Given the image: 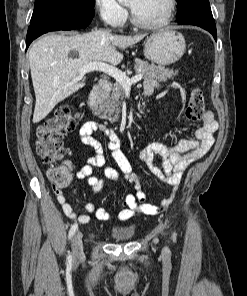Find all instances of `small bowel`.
<instances>
[{
	"label": "small bowel",
	"mask_w": 247,
	"mask_h": 296,
	"mask_svg": "<svg viewBox=\"0 0 247 296\" xmlns=\"http://www.w3.org/2000/svg\"><path fill=\"white\" fill-rule=\"evenodd\" d=\"M162 90V87L155 80H146L144 92L151 95L155 90ZM218 129V123L211 110L204 112L202 125L195 131V139L180 140L172 146L160 143L151 144L139 152V159L147 166L150 173L163 184L171 188L170 193L160 202L153 205L146 202V194L141 187L143 177L132 171L131 164L120 148V141L114 129L106 127L97 121H87L79 129L81 142L94 150V155L86 159L85 164L76 171L78 179L85 180L92 188L93 192L99 191L103 186V180L94 175L95 168H101L105 176L111 180L120 178L118 171L107 163L105 148L103 144L93 137L95 133L106 136V148L111 152L112 158L119 170L123 173V178L133 184L134 191L126 194L123 200V209L118 213V220L126 221L140 214L158 215L166 211L173 202L182 175L193 161L205 155L213 145V134ZM159 156L162 166L156 163L155 157ZM58 203L64 213L73 220L82 224L91 222L88 215H78L72 205L67 201L62 191L55 192ZM86 211L94 213L99 221H110V213L103 207H98L94 203L85 205Z\"/></svg>",
	"instance_id": "c3829d8e"
}]
</instances>
